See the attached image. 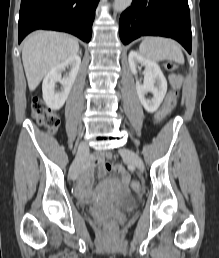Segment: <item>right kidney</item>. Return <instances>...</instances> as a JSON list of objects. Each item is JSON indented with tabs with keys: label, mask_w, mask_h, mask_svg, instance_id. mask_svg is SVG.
Listing matches in <instances>:
<instances>
[{
	"label": "right kidney",
	"mask_w": 219,
	"mask_h": 258,
	"mask_svg": "<svg viewBox=\"0 0 219 258\" xmlns=\"http://www.w3.org/2000/svg\"><path fill=\"white\" fill-rule=\"evenodd\" d=\"M81 58L74 55L53 67L45 76L42 83L43 99L52 110H59L68 98L71 88L76 79ZM66 68H70L68 76L62 78L61 74ZM59 82L61 91H55L56 83Z\"/></svg>",
	"instance_id": "ca27d5eb"
}]
</instances>
